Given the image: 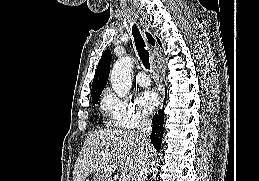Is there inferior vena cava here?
I'll list each match as a JSON object with an SVG mask.
<instances>
[{"label":"inferior vena cava","mask_w":259,"mask_h":181,"mask_svg":"<svg viewBox=\"0 0 259 181\" xmlns=\"http://www.w3.org/2000/svg\"><path fill=\"white\" fill-rule=\"evenodd\" d=\"M152 132V124L150 122V120L148 119L147 116L142 115L139 118L138 121V126H137V134L138 137L142 143V150L145 154L144 156V162L142 164V168L140 170L139 175L137 176L136 181H146L147 180V176L149 173V162H148V151L151 149V143L148 140V137L150 136Z\"/></svg>","instance_id":"602c4592"}]
</instances>
